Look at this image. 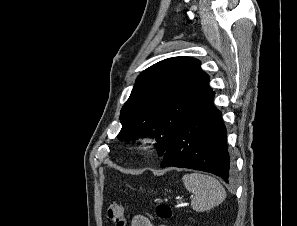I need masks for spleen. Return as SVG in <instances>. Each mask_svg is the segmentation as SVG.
<instances>
[{
	"instance_id": "spleen-1",
	"label": "spleen",
	"mask_w": 297,
	"mask_h": 226,
	"mask_svg": "<svg viewBox=\"0 0 297 226\" xmlns=\"http://www.w3.org/2000/svg\"><path fill=\"white\" fill-rule=\"evenodd\" d=\"M189 192L194 194L191 207L198 212L207 211L221 204L226 191L217 179L202 173H189L182 177Z\"/></svg>"
}]
</instances>
